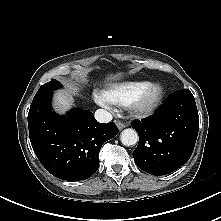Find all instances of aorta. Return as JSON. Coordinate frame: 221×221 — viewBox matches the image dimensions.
Instances as JSON below:
<instances>
[{
	"label": "aorta",
	"instance_id": "762f6f07",
	"mask_svg": "<svg viewBox=\"0 0 221 221\" xmlns=\"http://www.w3.org/2000/svg\"><path fill=\"white\" fill-rule=\"evenodd\" d=\"M120 140L125 146H132L138 142V133L132 129L127 128L121 132Z\"/></svg>",
	"mask_w": 221,
	"mask_h": 221
}]
</instances>
